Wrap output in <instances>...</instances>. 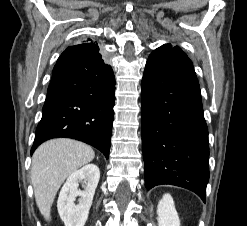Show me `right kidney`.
Listing matches in <instances>:
<instances>
[{
    "instance_id": "ca27d5eb",
    "label": "right kidney",
    "mask_w": 247,
    "mask_h": 226,
    "mask_svg": "<svg viewBox=\"0 0 247 226\" xmlns=\"http://www.w3.org/2000/svg\"><path fill=\"white\" fill-rule=\"evenodd\" d=\"M99 179L100 171L95 164L85 165L68 177L57 201L58 213L65 226L85 225ZM80 182H83V191L78 189ZM78 196V204H75Z\"/></svg>"
}]
</instances>
